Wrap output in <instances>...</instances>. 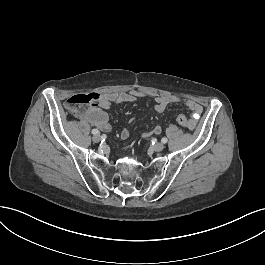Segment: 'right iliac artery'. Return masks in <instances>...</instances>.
<instances>
[{
  "label": "right iliac artery",
  "instance_id": "1",
  "mask_svg": "<svg viewBox=\"0 0 265 265\" xmlns=\"http://www.w3.org/2000/svg\"><path fill=\"white\" fill-rule=\"evenodd\" d=\"M98 133H99V131H98L97 129H93V130H92V134L96 135V134H98Z\"/></svg>",
  "mask_w": 265,
  "mask_h": 265
}]
</instances>
